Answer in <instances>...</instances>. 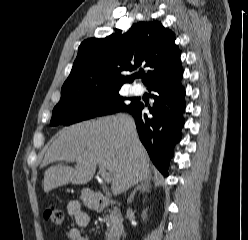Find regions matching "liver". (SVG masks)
Returning <instances> with one entry per match:
<instances>
[{"label":"liver","mask_w":248,"mask_h":240,"mask_svg":"<svg viewBox=\"0 0 248 240\" xmlns=\"http://www.w3.org/2000/svg\"><path fill=\"white\" fill-rule=\"evenodd\" d=\"M61 160L76 165L49 167L44 173L45 193L68 183H88L97 165L112 174L114 195L150 176L148 154L139 141L134 120L125 114L85 121L59 131L47 150L43 165Z\"/></svg>","instance_id":"liver-1"}]
</instances>
